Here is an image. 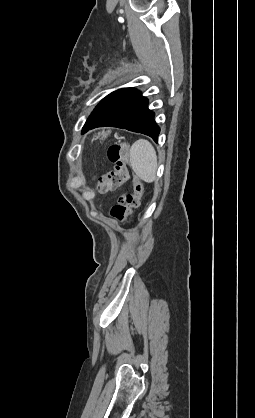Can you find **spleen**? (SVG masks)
I'll return each instance as SVG.
<instances>
[{
	"mask_svg": "<svg viewBox=\"0 0 255 418\" xmlns=\"http://www.w3.org/2000/svg\"><path fill=\"white\" fill-rule=\"evenodd\" d=\"M130 164L135 174L143 181L152 183L156 179L157 155L152 144L139 139L130 148Z\"/></svg>",
	"mask_w": 255,
	"mask_h": 418,
	"instance_id": "3e777b00",
	"label": "spleen"
}]
</instances>
